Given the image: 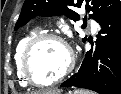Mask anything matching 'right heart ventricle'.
Returning <instances> with one entry per match:
<instances>
[{"mask_svg":"<svg viewBox=\"0 0 121 94\" xmlns=\"http://www.w3.org/2000/svg\"><path fill=\"white\" fill-rule=\"evenodd\" d=\"M38 34L37 30H31L29 31L27 34H25L21 40L19 41L16 50H15V55H14V59H15V66H16V71H17V75L19 78V82L22 86H27V82L22 74L21 71V57H22V53L27 45V43L34 38L36 35Z\"/></svg>","mask_w":121,"mask_h":94,"instance_id":"obj_1","label":"right heart ventricle"}]
</instances>
